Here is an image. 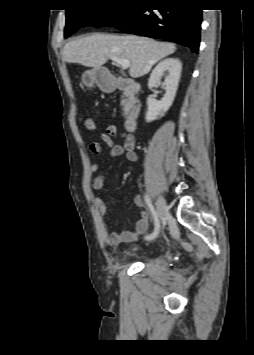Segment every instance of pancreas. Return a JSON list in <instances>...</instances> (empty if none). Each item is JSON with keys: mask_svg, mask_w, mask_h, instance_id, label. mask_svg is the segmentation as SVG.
Masks as SVG:
<instances>
[{"mask_svg": "<svg viewBox=\"0 0 254 355\" xmlns=\"http://www.w3.org/2000/svg\"><path fill=\"white\" fill-rule=\"evenodd\" d=\"M121 105L124 107V110L126 111V108H128L131 105V102L127 99V97H123L121 100Z\"/></svg>", "mask_w": 254, "mask_h": 355, "instance_id": "obj_1", "label": "pancreas"}]
</instances>
